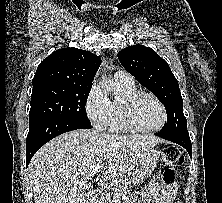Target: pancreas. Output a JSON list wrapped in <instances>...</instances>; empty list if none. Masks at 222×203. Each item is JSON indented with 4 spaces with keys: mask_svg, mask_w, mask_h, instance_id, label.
<instances>
[{
    "mask_svg": "<svg viewBox=\"0 0 222 203\" xmlns=\"http://www.w3.org/2000/svg\"><path fill=\"white\" fill-rule=\"evenodd\" d=\"M129 183V179H119L106 188V194L102 203H114V199L124 191L125 186Z\"/></svg>",
    "mask_w": 222,
    "mask_h": 203,
    "instance_id": "obj_1",
    "label": "pancreas"
}]
</instances>
